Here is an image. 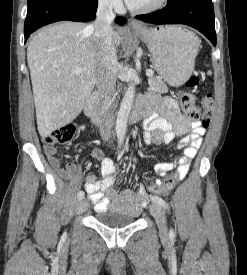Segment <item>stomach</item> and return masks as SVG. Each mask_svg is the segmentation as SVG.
Listing matches in <instances>:
<instances>
[{
    "label": "stomach",
    "mask_w": 247,
    "mask_h": 275,
    "mask_svg": "<svg viewBox=\"0 0 247 275\" xmlns=\"http://www.w3.org/2000/svg\"><path fill=\"white\" fill-rule=\"evenodd\" d=\"M135 31L146 42L155 70L169 85H182L194 69L198 52L196 35L179 26L142 28Z\"/></svg>",
    "instance_id": "1"
}]
</instances>
